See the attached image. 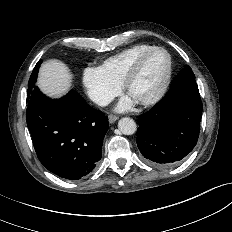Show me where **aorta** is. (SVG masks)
<instances>
[{
    "mask_svg": "<svg viewBox=\"0 0 232 232\" xmlns=\"http://www.w3.org/2000/svg\"><path fill=\"white\" fill-rule=\"evenodd\" d=\"M118 128L122 134L132 135L135 133L137 126L132 118L124 117L119 120Z\"/></svg>",
    "mask_w": 232,
    "mask_h": 232,
    "instance_id": "obj_1",
    "label": "aorta"
}]
</instances>
